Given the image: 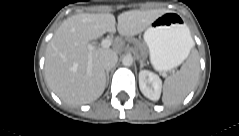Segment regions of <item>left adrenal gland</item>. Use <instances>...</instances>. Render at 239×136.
<instances>
[{"label":"left adrenal gland","instance_id":"a2214340","mask_svg":"<svg viewBox=\"0 0 239 136\" xmlns=\"http://www.w3.org/2000/svg\"><path fill=\"white\" fill-rule=\"evenodd\" d=\"M144 66V62L143 60H140V68H142Z\"/></svg>","mask_w":239,"mask_h":136}]
</instances>
